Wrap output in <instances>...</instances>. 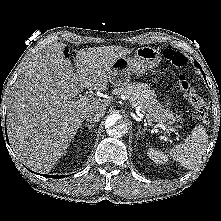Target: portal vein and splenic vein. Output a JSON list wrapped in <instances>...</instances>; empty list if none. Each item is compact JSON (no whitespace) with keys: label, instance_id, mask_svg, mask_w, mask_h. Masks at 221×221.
<instances>
[{"label":"portal vein and splenic vein","instance_id":"18ae733b","mask_svg":"<svg viewBox=\"0 0 221 221\" xmlns=\"http://www.w3.org/2000/svg\"><path fill=\"white\" fill-rule=\"evenodd\" d=\"M80 100L83 101V102H85V101H88L89 98H88L87 96H82V97L80 98ZM133 106H136V105H133ZM136 111H137V113H140V107H139V106L136 107ZM158 127L162 128L164 131H165V130L168 131V129H166V127H165L164 125H162V124L154 125V128H158Z\"/></svg>","mask_w":221,"mask_h":221}]
</instances>
